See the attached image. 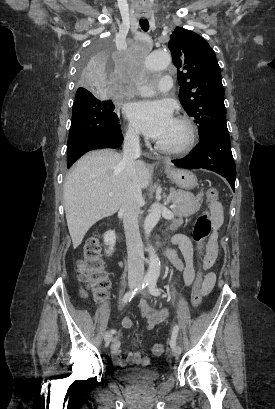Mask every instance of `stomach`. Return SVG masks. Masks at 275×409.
<instances>
[{"instance_id":"1","label":"stomach","mask_w":275,"mask_h":409,"mask_svg":"<svg viewBox=\"0 0 275 409\" xmlns=\"http://www.w3.org/2000/svg\"><path fill=\"white\" fill-rule=\"evenodd\" d=\"M165 172L168 178H171L172 182H175L180 188H185V190H190V188H193V186L197 184V178L191 170L166 166Z\"/></svg>"}]
</instances>
